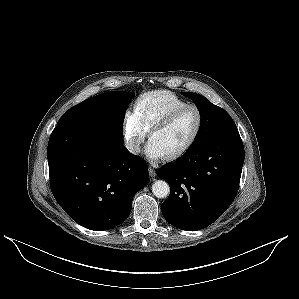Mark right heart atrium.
Returning a JSON list of instances; mask_svg holds the SVG:
<instances>
[{
    "label": "right heart atrium",
    "mask_w": 299,
    "mask_h": 299,
    "mask_svg": "<svg viewBox=\"0 0 299 299\" xmlns=\"http://www.w3.org/2000/svg\"><path fill=\"white\" fill-rule=\"evenodd\" d=\"M147 128L134 111H126L123 119V137L126 148L132 154H138L147 135Z\"/></svg>",
    "instance_id": "d8ad5b80"
}]
</instances>
